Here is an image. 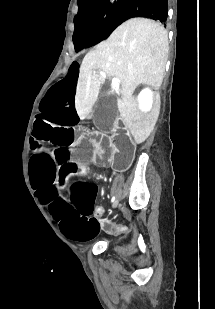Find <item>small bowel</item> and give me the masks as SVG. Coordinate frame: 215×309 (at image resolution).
Here are the masks:
<instances>
[{
	"label": "small bowel",
	"mask_w": 215,
	"mask_h": 309,
	"mask_svg": "<svg viewBox=\"0 0 215 309\" xmlns=\"http://www.w3.org/2000/svg\"><path fill=\"white\" fill-rule=\"evenodd\" d=\"M102 211V208L101 207H97L95 212H94V215H93V219H97L100 217L99 213Z\"/></svg>",
	"instance_id": "c3829d8e"
}]
</instances>
